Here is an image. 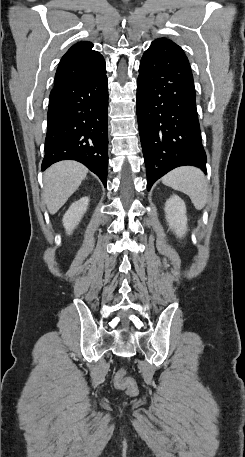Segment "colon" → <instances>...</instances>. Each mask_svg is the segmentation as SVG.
Returning <instances> with one entry per match:
<instances>
[{
    "label": "colon",
    "mask_w": 245,
    "mask_h": 457,
    "mask_svg": "<svg viewBox=\"0 0 245 457\" xmlns=\"http://www.w3.org/2000/svg\"><path fill=\"white\" fill-rule=\"evenodd\" d=\"M114 383L118 388L126 390L129 394H134L137 390L134 380L127 376L126 370L123 368L117 371Z\"/></svg>",
    "instance_id": "obj_1"
}]
</instances>
